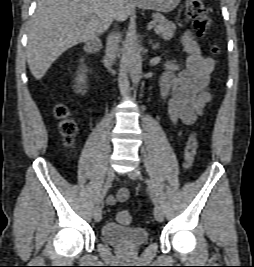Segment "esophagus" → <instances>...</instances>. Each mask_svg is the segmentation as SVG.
I'll return each mask as SVG.
<instances>
[{
	"label": "esophagus",
	"mask_w": 254,
	"mask_h": 267,
	"mask_svg": "<svg viewBox=\"0 0 254 267\" xmlns=\"http://www.w3.org/2000/svg\"><path fill=\"white\" fill-rule=\"evenodd\" d=\"M131 1H136L137 2V1H141V0H131Z\"/></svg>",
	"instance_id": "34e87169"
}]
</instances>
